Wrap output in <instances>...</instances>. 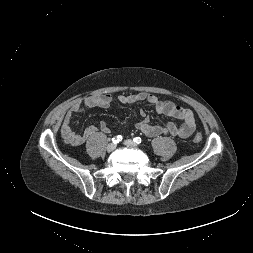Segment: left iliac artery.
Masks as SVG:
<instances>
[{
	"label": "left iliac artery",
	"instance_id": "44dca946",
	"mask_svg": "<svg viewBox=\"0 0 253 253\" xmlns=\"http://www.w3.org/2000/svg\"><path fill=\"white\" fill-rule=\"evenodd\" d=\"M133 140L136 144H140L142 142L141 137H135Z\"/></svg>",
	"mask_w": 253,
	"mask_h": 253
}]
</instances>
